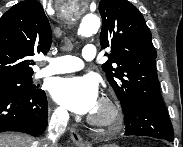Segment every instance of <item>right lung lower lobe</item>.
I'll list each match as a JSON object with an SVG mask.
<instances>
[{
    "instance_id": "1",
    "label": "right lung lower lobe",
    "mask_w": 183,
    "mask_h": 147,
    "mask_svg": "<svg viewBox=\"0 0 183 147\" xmlns=\"http://www.w3.org/2000/svg\"><path fill=\"white\" fill-rule=\"evenodd\" d=\"M48 104L41 89L0 92V132L17 131L38 136L47 127Z\"/></svg>"
}]
</instances>
